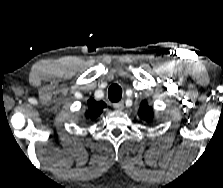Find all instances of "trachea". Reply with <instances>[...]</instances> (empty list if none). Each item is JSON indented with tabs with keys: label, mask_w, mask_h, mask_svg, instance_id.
Returning a JSON list of instances; mask_svg holds the SVG:
<instances>
[{
	"label": "trachea",
	"mask_w": 223,
	"mask_h": 188,
	"mask_svg": "<svg viewBox=\"0 0 223 188\" xmlns=\"http://www.w3.org/2000/svg\"><path fill=\"white\" fill-rule=\"evenodd\" d=\"M108 98L111 102H118L122 98V89L119 85L114 84L108 90Z\"/></svg>",
	"instance_id": "3493384b"
}]
</instances>
